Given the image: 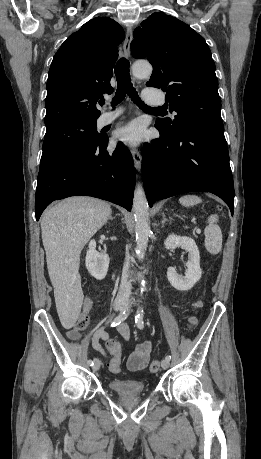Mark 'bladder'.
Listing matches in <instances>:
<instances>
[{
    "label": "bladder",
    "instance_id": "31cf9c89",
    "mask_svg": "<svg viewBox=\"0 0 261 459\" xmlns=\"http://www.w3.org/2000/svg\"><path fill=\"white\" fill-rule=\"evenodd\" d=\"M108 388L113 393L123 396L138 395L146 391L142 381L133 379H111L108 381Z\"/></svg>",
    "mask_w": 261,
    "mask_h": 459
}]
</instances>
